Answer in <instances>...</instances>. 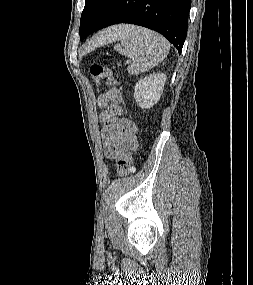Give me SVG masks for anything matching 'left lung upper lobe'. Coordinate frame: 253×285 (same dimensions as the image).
Listing matches in <instances>:
<instances>
[{
    "instance_id": "1",
    "label": "left lung upper lobe",
    "mask_w": 253,
    "mask_h": 285,
    "mask_svg": "<svg viewBox=\"0 0 253 285\" xmlns=\"http://www.w3.org/2000/svg\"><path fill=\"white\" fill-rule=\"evenodd\" d=\"M112 0H85L80 20V39L86 38L106 12Z\"/></svg>"
}]
</instances>
